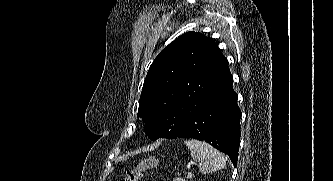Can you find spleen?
Listing matches in <instances>:
<instances>
[{
  "label": "spleen",
  "instance_id": "obj_1",
  "mask_svg": "<svg viewBox=\"0 0 333 181\" xmlns=\"http://www.w3.org/2000/svg\"><path fill=\"white\" fill-rule=\"evenodd\" d=\"M184 143L191 151L193 160L199 162L201 173L221 170L226 166L224 155L206 142L185 140Z\"/></svg>",
  "mask_w": 333,
  "mask_h": 181
}]
</instances>
